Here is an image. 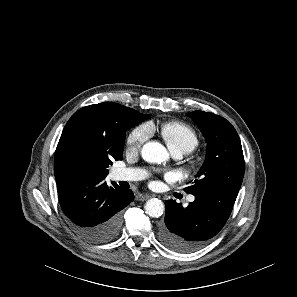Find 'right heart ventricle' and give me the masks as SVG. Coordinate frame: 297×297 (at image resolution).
Instances as JSON below:
<instances>
[{
	"label": "right heart ventricle",
	"instance_id": "right-heart-ventricle-1",
	"mask_svg": "<svg viewBox=\"0 0 297 297\" xmlns=\"http://www.w3.org/2000/svg\"><path fill=\"white\" fill-rule=\"evenodd\" d=\"M160 132L172 151L183 149L189 152L199 143L194 128L183 122L172 121L165 123L161 126Z\"/></svg>",
	"mask_w": 297,
	"mask_h": 297
}]
</instances>
